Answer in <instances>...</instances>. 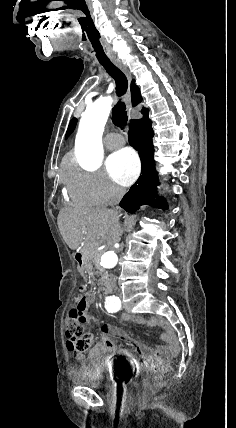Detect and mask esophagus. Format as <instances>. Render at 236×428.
I'll return each instance as SVG.
<instances>
[{
  "mask_svg": "<svg viewBox=\"0 0 236 428\" xmlns=\"http://www.w3.org/2000/svg\"><path fill=\"white\" fill-rule=\"evenodd\" d=\"M114 65H116V67H118L120 70H122V72L126 75V77L128 78V81L130 83L131 79H132V75L128 69V67L126 65H124L122 62H113ZM125 103L127 106V109H131V96H130V90L128 89L127 93L125 94Z\"/></svg>",
  "mask_w": 236,
  "mask_h": 428,
  "instance_id": "34e87169",
  "label": "esophagus"
}]
</instances>
